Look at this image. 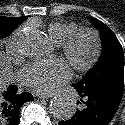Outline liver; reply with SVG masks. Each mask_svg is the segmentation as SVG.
Here are the masks:
<instances>
[{"label": "liver", "mask_w": 125, "mask_h": 125, "mask_svg": "<svg viewBox=\"0 0 125 125\" xmlns=\"http://www.w3.org/2000/svg\"><path fill=\"white\" fill-rule=\"evenodd\" d=\"M6 73H7V70L5 68L3 55L0 52V90H2V88L5 89L6 83L4 81V76Z\"/></svg>", "instance_id": "obj_1"}]
</instances>
